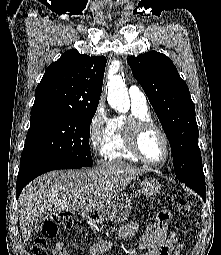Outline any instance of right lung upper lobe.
I'll list each match as a JSON object with an SVG mask.
<instances>
[{"label": "right lung upper lobe", "instance_id": "right-lung-upper-lobe-1", "mask_svg": "<svg viewBox=\"0 0 221 255\" xmlns=\"http://www.w3.org/2000/svg\"><path fill=\"white\" fill-rule=\"evenodd\" d=\"M106 66L104 56L69 50L50 64L35 91L31 113L96 110Z\"/></svg>", "mask_w": 221, "mask_h": 255}]
</instances>
